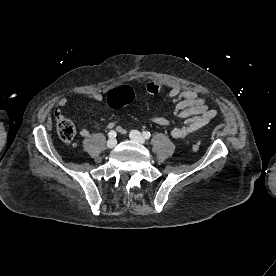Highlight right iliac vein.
<instances>
[{
  "instance_id": "right-iliac-vein-1",
  "label": "right iliac vein",
  "mask_w": 276,
  "mask_h": 276,
  "mask_svg": "<svg viewBox=\"0 0 276 276\" xmlns=\"http://www.w3.org/2000/svg\"><path fill=\"white\" fill-rule=\"evenodd\" d=\"M117 144V141L115 138H110L108 141H107V148L109 149H113Z\"/></svg>"
}]
</instances>
